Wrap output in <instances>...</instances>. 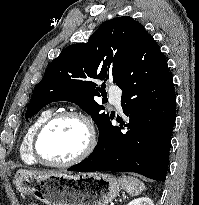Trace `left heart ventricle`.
Masks as SVG:
<instances>
[{"mask_svg":"<svg viewBox=\"0 0 199 205\" xmlns=\"http://www.w3.org/2000/svg\"><path fill=\"white\" fill-rule=\"evenodd\" d=\"M86 128L75 118L53 123L39 139V151L45 160L63 162L76 156L86 142Z\"/></svg>","mask_w":199,"mask_h":205,"instance_id":"b2bd125f","label":"left heart ventricle"}]
</instances>
